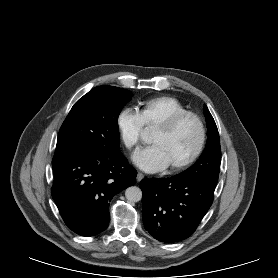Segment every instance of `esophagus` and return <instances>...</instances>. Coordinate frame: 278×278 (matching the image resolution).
<instances>
[{
	"label": "esophagus",
	"instance_id": "1",
	"mask_svg": "<svg viewBox=\"0 0 278 278\" xmlns=\"http://www.w3.org/2000/svg\"><path fill=\"white\" fill-rule=\"evenodd\" d=\"M143 178H144V174L141 172H138L137 177H136L137 181L140 182Z\"/></svg>",
	"mask_w": 278,
	"mask_h": 278
}]
</instances>
